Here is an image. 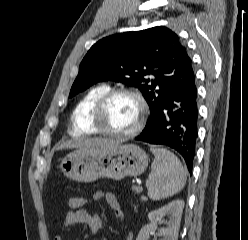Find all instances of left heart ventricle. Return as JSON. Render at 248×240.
<instances>
[{"label":"left heart ventricle","mask_w":248,"mask_h":240,"mask_svg":"<svg viewBox=\"0 0 248 240\" xmlns=\"http://www.w3.org/2000/svg\"><path fill=\"white\" fill-rule=\"evenodd\" d=\"M139 112L138 102L132 96H115L104 111L102 126L116 132L130 131L137 123Z\"/></svg>","instance_id":"1"}]
</instances>
